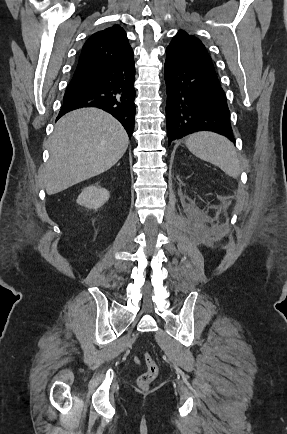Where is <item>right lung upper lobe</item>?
<instances>
[{"label": "right lung upper lobe", "instance_id": "cb5924a9", "mask_svg": "<svg viewBox=\"0 0 287 434\" xmlns=\"http://www.w3.org/2000/svg\"><path fill=\"white\" fill-rule=\"evenodd\" d=\"M130 56H133V50L124 29L114 25L88 38L76 69L112 63Z\"/></svg>", "mask_w": 287, "mask_h": 434}]
</instances>
